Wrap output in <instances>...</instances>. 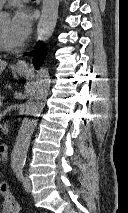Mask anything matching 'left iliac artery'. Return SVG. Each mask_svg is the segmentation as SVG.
I'll return each instance as SVG.
<instances>
[{"label": "left iliac artery", "instance_id": "left-iliac-artery-1", "mask_svg": "<svg viewBox=\"0 0 128 213\" xmlns=\"http://www.w3.org/2000/svg\"><path fill=\"white\" fill-rule=\"evenodd\" d=\"M22 171H23V165H17L14 167V172L19 180L23 178Z\"/></svg>", "mask_w": 128, "mask_h": 213}]
</instances>
